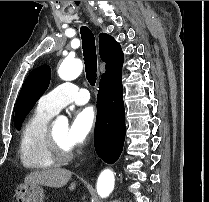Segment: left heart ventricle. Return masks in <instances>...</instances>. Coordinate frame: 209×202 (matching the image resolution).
Here are the masks:
<instances>
[{
    "label": "left heart ventricle",
    "instance_id": "obj_1",
    "mask_svg": "<svg viewBox=\"0 0 209 202\" xmlns=\"http://www.w3.org/2000/svg\"><path fill=\"white\" fill-rule=\"evenodd\" d=\"M67 130L68 126L66 124H59L53 126V132L56 138L59 140V142L64 146L70 147L66 141Z\"/></svg>",
    "mask_w": 209,
    "mask_h": 202
}]
</instances>
